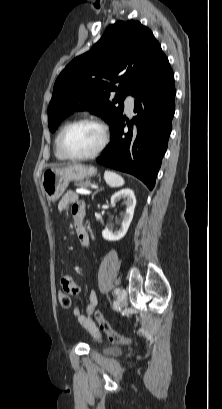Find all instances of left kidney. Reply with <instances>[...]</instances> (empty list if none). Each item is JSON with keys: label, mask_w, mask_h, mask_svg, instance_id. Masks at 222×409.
I'll list each match as a JSON object with an SVG mask.
<instances>
[{"label": "left kidney", "mask_w": 222, "mask_h": 409, "mask_svg": "<svg viewBox=\"0 0 222 409\" xmlns=\"http://www.w3.org/2000/svg\"><path fill=\"white\" fill-rule=\"evenodd\" d=\"M120 200H124L126 204V211L122 217L121 228L118 231L113 232L112 229L106 227L102 231V236L105 240L117 241L122 239L126 235L128 228L131 224V221L133 219L134 209L136 206V198L133 190L130 188H125L116 192L111 197V205L115 206L116 203Z\"/></svg>", "instance_id": "left-kidney-1"}]
</instances>
